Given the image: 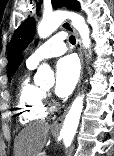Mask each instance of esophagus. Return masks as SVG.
<instances>
[{"instance_id":"1","label":"esophagus","mask_w":114,"mask_h":156,"mask_svg":"<svg viewBox=\"0 0 114 156\" xmlns=\"http://www.w3.org/2000/svg\"><path fill=\"white\" fill-rule=\"evenodd\" d=\"M62 27L64 29L72 32L74 34L75 38H76V47H77L79 57H80V60H81V65H82L81 77H80L79 84H78V89H79V87L81 85V80H82V75H83V65H84V58H83V50H82L81 40L79 38V35H78L77 31L75 30V28L72 26V24L69 21H64L63 24H62ZM66 112H67V110L59 118H57L53 122L52 127L59 128V127L62 126V123H63Z\"/></svg>"}]
</instances>
